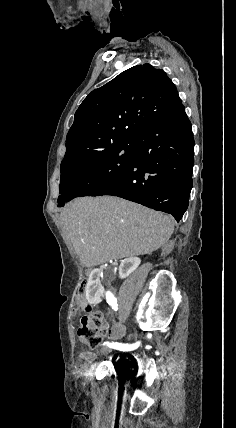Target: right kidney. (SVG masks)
Masks as SVG:
<instances>
[{
	"label": "right kidney",
	"instance_id": "obj_1",
	"mask_svg": "<svg viewBox=\"0 0 236 428\" xmlns=\"http://www.w3.org/2000/svg\"><path fill=\"white\" fill-rule=\"evenodd\" d=\"M140 264L141 260L140 258H136V256L125 258L119 266V278H121V280H123V278H127L129 274H132V272L140 266ZM102 274L101 269H94L89 276V280L85 288L86 300H88L89 304H99V302H101L100 292L106 291V284L99 283L98 280V278L102 277Z\"/></svg>",
	"mask_w": 236,
	"mask_h": 428
}]
</instances>
